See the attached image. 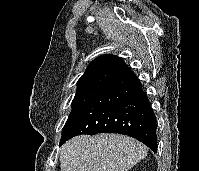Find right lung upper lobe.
Here are the masks:
<instances>
[{
    "label": "right lung upper lobe",
    "instance_id": "right-lung-upper-lobe-1",
    "mask_svg": "<svg viewBox=\"0 0 199 171\" xmlns=\"http://www.w3.org/2000/svg\"><path fill=\"white\" fill-rule=\"evenodd\" d=\"M128 69L129 67L123 60H121V58L112 54H104L94 59L88 65L86 71L80 77L77 84L100 75H109L115 77Z\"/></svg>",
    "mask_w": 199,
    "mask_h": 171
}]
</instances>
